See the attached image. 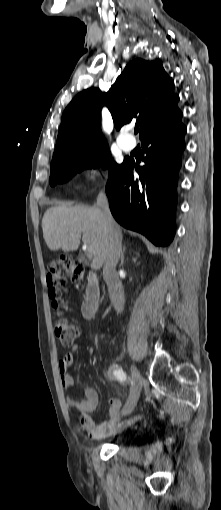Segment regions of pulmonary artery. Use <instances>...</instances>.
<instances>
[{
  "instance_id": "1",
  "label": "pulmonary artery",
  "mask_w": 221,
  "mask_h": 510,
  "mask_svg": "<svg viewBox=\"0 0 221 510\" xmlns=\"http://www.w3.org/2000/svg\"><path fill=\"white\" fill-rule=\"evenodd\" d=\"M119 146L125 151H130L134 147V141L130 134L121 133L117 137Z\"/></svg>"
}]
</instances>
